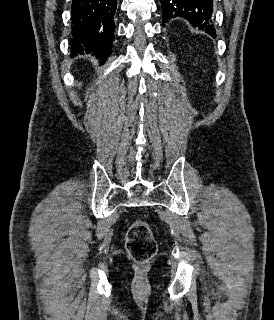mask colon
Masks as SVG:
<instances>
[{
  "instance_id": "obj_1",
  "label": "colon",
  "mask_w": 274,
  "mask_h": 320,
  "mask_svg": "<svg viewBox=\"0 0 274 320\" xmlns=\"http://www.w3.org/2000/svg\"><path fill=\"white\" fill-rule=\"evenodd\" d=\"M126 249L138 264L148 263L156 254L157 243L151 226L143 221H135L126 235Z\"/></svg>"
}]
</instances>
